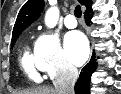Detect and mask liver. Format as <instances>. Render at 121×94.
I'll return each mask as SVG.
<instances>
[{
  "label": "liver",
  "instance_id": "6515ba94",
  "mask_svg": "<svg viewBox=\"0 0 121 94\" xmlns=\"http://www.w3.org/2000/svg\"><path fill=\"white\" fill-rule=\"evenodd\" d=\"M18 94H58V93L56 89L52 87L43 86L31 90H24L19 92Z\"/></svg>",
  "mask_w": 121,
  "mask_h": 94
}]
</instances>
